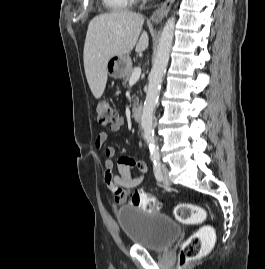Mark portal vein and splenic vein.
I'll list each match as a JSON object with an SVG mask.
<instances>
[{
    "label": "portal vein and splenic vein",
    "mask_w": 265,
    "mask_h": 269,
    "mask_svg": "<svg viewBox=\"0 0 265 269\" xmlns=\"http://www.w3.org/2000/svg\"><path fill=\"white\" fill-rule=\"evenodd\" d=\"M140 75H141V68L140 67L135 68L130 77L129 83H135L140 78Z\"/></svg>",
    "instance_id": "obj_1"
}]
</instances>
